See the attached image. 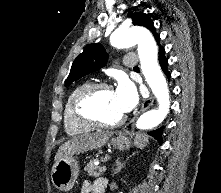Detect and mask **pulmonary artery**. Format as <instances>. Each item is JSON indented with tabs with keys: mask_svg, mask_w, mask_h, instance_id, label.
Here are the masks:
<instances>
[{
	"mask_svg": "<svg viewBox=\"0 0 221 193\" xmlns=\"http://www.w3.org/2000/svg\"><path fill=\"white\" fill-rule=\"evenodd\" d=\"M137 62H138L137 55H131L124 60V65L126 67L132 68L137 64Z\"/></svg>",
	"mask_w": 221,
	"mask_h": 193,
	"instance_id": "1",
	"label": "pulmonary artery"
}]
</instances>
